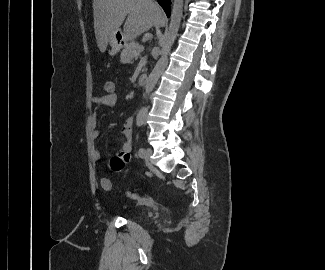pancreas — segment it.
I'll use <instances>...</instances> for the list:
<instances>
[{"mask_svg":"<svg viewBox=\"0 0 325 270\" xmlns=\"http://www.w3.org/2000/svg\"><path fill=\"white\" fill-rule=\"evenodd\" d=\"M139 44L136 42H130L124 45V49L121 52L120 62L129 63L135 57H137Z\"/></svg>","mask_w":325,"mask_h":270,"instance_id":"pancreas-1","label":"pancreas"}]
</instances>
